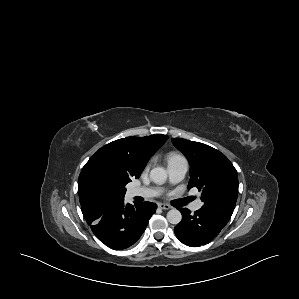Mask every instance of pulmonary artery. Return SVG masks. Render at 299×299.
<instances>
[{
  "mask_svg": "<svg viewBox=\"0 0 299 299\" xmlns=\"http://www.w3.org/2000/svg\"><path fill=\"white\" fill-rule=\"evenodd\" d=\"M188 170V164L185 160L175 161L168 164L169 180L175 184L180 182ZM161 193L159 188L155 187H138L131 190L132 196L155 197ZM200 200L195 201L191 205V210L197 211L201 208Z\"/></svg>",
  "mask_w": 299,
  "mask_h": 299,
  "instance_id": "1",
  "label": "pulmonary artery"
}]
</instances>
